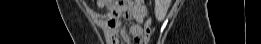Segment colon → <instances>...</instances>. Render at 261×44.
<instances>
[{
    "label": "colon",
    "instance_id": "5ec220e1",
    "mask_svg": "<svg viewBox=\"0 0 261 44\" xmlns=\"http://www.w3.org/2000/svg\"><path fill=\"white\" fill-rule=\"evenodd\" d=\"M101 5L107 6H117L119 8H124L123 6H134V1H116V0H103L100 1ZM152 36V28H151V19H148L147 22L144 25L143 31L139 39L137 40L138 44H147L150 42Z\"/></svg>",
    "mask_w": 261,
    "mask_h": 44
}]
</instances>
